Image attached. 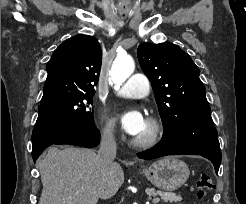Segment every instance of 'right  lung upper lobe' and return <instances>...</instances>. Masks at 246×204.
I'll list each match as a JSON object with an SVG mask.
<instances>
[{
    "label": "right lung upper lobe",
    "instance_id": "1",
    "mask_svg": "<svg viewBox=\"0 0 246 204\" xmlns=\"http://www.w3.org/2000/svg\"><path fill=\"white\" fill-rule=\"evenodd\" d=\"M46 68L41 101L70 93H95L101 68L100 44L89 35L71 37L54 51Z\"/></svg>",
    "mask_w": 246,
    "mask_h": 204
}]
</instances>
